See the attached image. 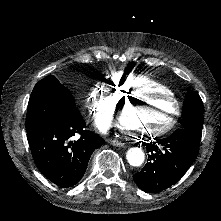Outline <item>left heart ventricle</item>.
<instances>
[{
  "label": "left heart ventricle",
  "mask_w": 221,
  "mask_h": 221,
  "mask_svg": "<svg viewBox=\"0 0 221 221\" xmlns=\"http://www.w3.org/2000/svg\"><path fill=\"white\" fill-rule=\"evenodd\" d=\"M173 116L172 106L159 100H135L131 108H124L120 112V119L130 127L146 124H162Z\"/></svg>",
  "instance_id": "b2bd125f"
}]
</instances>
